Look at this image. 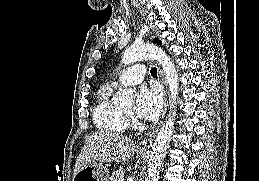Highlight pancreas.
Listing matches in <instances>:
<instances>
[{"instance_id": "obj_1", "label": "pancreas", "mask_w": 259, "mask_h": 181, "mask_svg": "<svg viewBox=\"0 0 259 181\" xmlns=\"http://www.w3.org/2000/svg\"><path fill=\"white\" fill-rule=\"evenodd\" d=\"M125 175V169L120 167L119 169L115 170L111 177H110V181H120V179H122Z\"/></svg>"}]
</instances>
